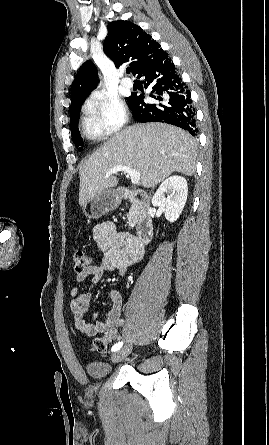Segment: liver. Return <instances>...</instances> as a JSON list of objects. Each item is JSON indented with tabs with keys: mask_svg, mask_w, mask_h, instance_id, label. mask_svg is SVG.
Here are the masks:
<instances>
[{
	"mask_svg": "<svg viewBox=\"0 0 269 445\" xmlns=\"http://www.w3.org/2000/svg\"><path fill=\"white\" fill-rule=\"evenodd\" d=\"M195 139L186 131L163 123L136 124L116 133L94 152L79 171V204L117 186L106 173L123 165L140 172V184L154 187L173 172H195Z\"/></svg>",
	"mask_w": 269,
	"mask_h": 445,
	"instance_id": "6515ba94",
	"label": "liver"
}]
</instances>
